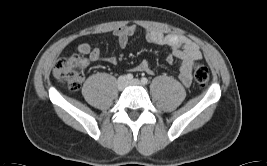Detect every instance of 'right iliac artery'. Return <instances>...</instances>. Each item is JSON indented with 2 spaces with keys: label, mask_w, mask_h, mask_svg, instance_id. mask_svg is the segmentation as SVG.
Segmentation results:
<instances>
[{
  "label": "right iliac artery",
  "mask_w": 267,
  "mask_h": 166,
  "mask_svg": "<svg viewBox=\"0 0 267 166\" xmlns=\"http://www.w3.org/2000/svg\"><path fill=\"white\" fill-rule=\"evenodd\" d=\"M133 78L132 74L127 75V79L131 80Z\"/></svg>",
  "instance_id": "82829eb1"
}]
</instances>
